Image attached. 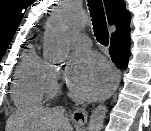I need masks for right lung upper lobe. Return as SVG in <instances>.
Here are the masks:
<instances>
[{"label": "right lung upper lobe", "instance_id": "right-lung-upper-lobe-1", "mask_svg": "<svg viewBox=\"0 0 151 131\" xmlns=\"http://www.w3.org/2000/svg\"><path fill=\"white\" fill-rule=\"evenodd\" d=\"M104 4L109 24L116 26V31L111 34V43L130 40V13L125 9L124 1L104 0Z\"/></svg>", "mask_w": 151, "mask_h": 131}]
</instances>
